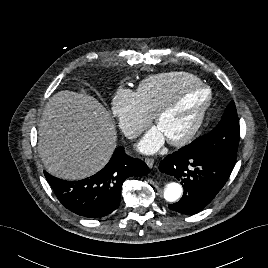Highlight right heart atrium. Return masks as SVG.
Returning a JSON list of instances; mask_svg holds the SVG:
<instances>
[{"mask_svg": "<svg viewBox=\"0 0 268 268\" xmlns=\"http://www.w3.org/2000/svg\"><path fill=\"white\" fill-rule=\"evenodd\" d=\"M111 111L120 128L130 138L141 133L153 119L139 92L129 89L116 92L111 101Z\"/></svg>", "mask_w": 268, "mask_h": 268, "instance_id": "1", "label": "right heart atrium"}]
</instances>
